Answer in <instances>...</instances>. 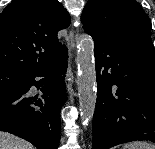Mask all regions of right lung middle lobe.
I'll return each instance as SVG.
<instances>
[{"label":"right lung middle lobe","instance_id":"right-lung-middle-lobe-1","mask_svg":"<svg viewBox=\"0 0 155 149\" xmlns=\"http://www.w3.org/2000/svg\"><path fill=\"white\" fill-rule=\"evenodd\" d=\"M27 79V74L11 70L0 69V92L22 90Z\"/></svg>","mask_w":155,"mask_h":149}]
</instances>
